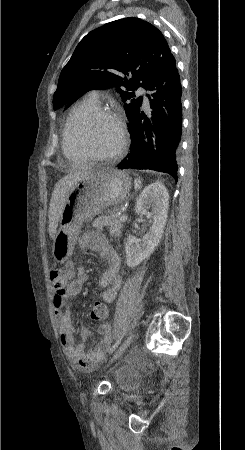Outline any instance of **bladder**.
Returning a JSON list of instances; mask_svg holds the SVG:
<instances>
[{
    "label": "bladder",
    "mask_w": 245,
    "mask_h": 450,
    "mask_svg": "<svg viewBox=\"0 0 245 450\" xmlns=\"http://www.w3.org/2000/svg\"><path fill=\"white\" fill-rule=\"evenodd\" d=\"M135 376L129 368L120 367L112 374V381L121 388L126 387L134 380Z\"/></svg>",
    "instance_id": "obj_1"
}]
</instances>
